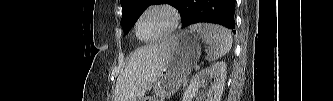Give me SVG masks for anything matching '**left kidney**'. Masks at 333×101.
I'll use <instances>...</instances> for the list:
<instances>
[{"label": "left kidney", "mask_w": 333, "mask_h": 101, "mask_svg": "<svg viewBox=\"0 0 333 101\" xmlns=\"http://www.w3.org/2000/svg\"><path fill=\"white\" fill-rule=\"evenodd\" d=\"M226 63L223 61L216 62L209 67L197 73L188 88L186 89L183 101H192L198 92L199 87L205 85V79L210 81L206 101H220L225 86ZM213 79V81H211Z\"/></svg>", "instance_id": "5707ae66"}]
</instances>
